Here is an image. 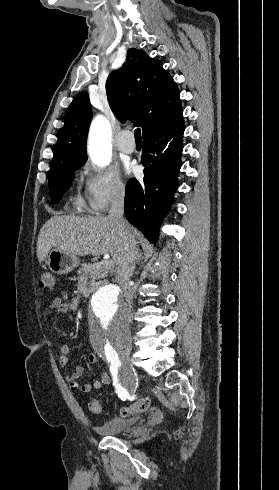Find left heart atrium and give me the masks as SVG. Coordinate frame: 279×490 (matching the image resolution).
Masks as SVG:
<instances>
[{
    "mask_svg": "<svg viewBox=\"0 0 279 490\" xmlns=\"http://www.w3.org/2000/svg\"><path fill=\"white\" fill-rule=\"evenodd\" d=\"M134 170V165L133 164H128L127 165V172H132Z\"/></svg>",
    "mask_w": 279,
    "mask_h": 490,
    "instance_id": "obj_1",
    "label": "left heart atrium"
}]
</instances>
